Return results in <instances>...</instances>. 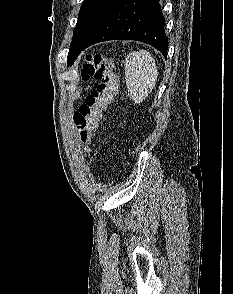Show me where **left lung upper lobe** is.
Returning <instances> with one entry per match:
<instances>
[{
    "mask_svg": "<svg viewBox=\"0 0 233 294\" xmlns=\"http://www.w3.org/2000/svg\"><path fill=\"white\" fill-rule=\"evenodd\" d=\"M111 0H84L70 45L67 65L71 66L82 50L84 41Z\"/></svg>",
    "mask_w": 233,
    "mask_h": 294,
    "instance_id": "5c2ea615",
    "label": "left lung upper lobe"
}]
</instances>
